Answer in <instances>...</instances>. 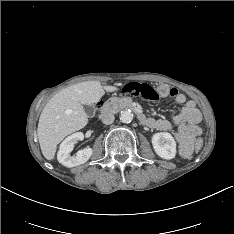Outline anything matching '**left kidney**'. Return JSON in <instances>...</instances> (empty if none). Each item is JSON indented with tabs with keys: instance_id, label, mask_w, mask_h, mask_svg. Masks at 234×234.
Segmentation results:
<instances>
[{
	"instance_id": "5707ae66",
	"label": "left kidney",
	"mask_w": 234,
	"mask_h": 234,
	"mask_svg": "<svg viewBox=\"0 0 234 234\" xmlns=\"http://www.w3.org/2000/svg\"><path fill=\"white\" fill-rule=\"evenodd\" d=\"M152 145L156 154L163 159L170 160L176 156V141L168 132L155 133Z\"/></svg>"
}]
</instances>
